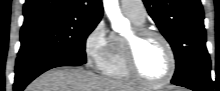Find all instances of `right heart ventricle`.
I'll return each mask as SVG.
<instances>
[{
  "mask_svg": "<svg viewBox=\"0 0 220 91\" xmlns=\"http://www.w3.org/2000/svg\"><path fill=\"white\" fill-rule=\"evenodd\" d=\"M130 19L136 26L143 25V23L136 22L132 18ZM124 40L125 39L123 37L117 35L112 36L111 53L102 69V72L105 76L117 80L130 81L132 80V76L126 66Z\"/></svg>",
  "mask_w": 220,
  "mask_h": 91,
  "instance_id": "obj_1",
  "label": "right heart ventricle"
}]
</instances>
